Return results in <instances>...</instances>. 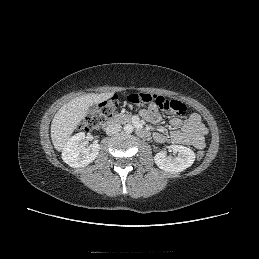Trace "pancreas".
Masks as SVG:
<instances>
[{
  "instance_id": "cf45deb5",
  "label": "pancreas",
  "mask_w": 259,
  "mask_h": 259,
  "mask_svg": "<svg viewBox=\"0 0 259 259\" xmlns=\"http://www.w3.org/2000/svg\"><path fill=\"white\" fill-rule=\"evenodd\" d=\"M115 117L119 120H128L130 118V115L120 113V114L116 115Z\"/></svg>"
}]
</instances>
